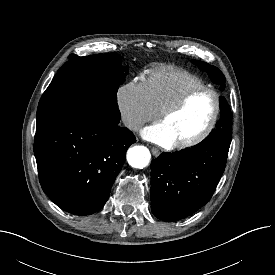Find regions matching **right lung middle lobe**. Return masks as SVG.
<instances>
[{
	"mask_svg": "<svg viewBox=\"0 0 275 275\" xmlns=\"http://www.w3.org/2000/svg\"><path fill=\"white\" fill-rule=\"evenodd\" d=\"M118 55H70L42 95L36 131L67 116L90 113L119 122L117 96L127 75Z\"/></svg>",
	"mask_w": 275,
	"mask_h": 275,
	"instance_id": "right-lung-middle-lobe-1",
	"label": "right lung middle lobe"
}]
</instances>
